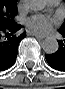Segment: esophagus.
<instances>
[{
	"label": "esophagus",
	"mask_w": 65,
	"mask_h": 89,
	"mask_svg": "<svg viewBox=\"0 0 65 89\" xmlns=\"http://www.w3.org/2000/svg\"><path fill=\"white\" fill-rule=\"evenodd\" d=\"M30 35L35 36L38 39H44L45 38L44 35H39V34H35V33H32V32H30Z\"/></svg>",
	"instance_id": "esophagus-1"
}]
</instances>
